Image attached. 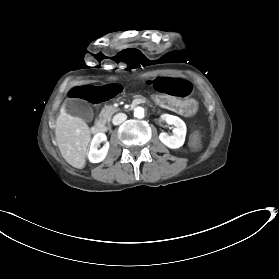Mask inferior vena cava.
I'll return each instance as SVG.
<instances>
[{"label":"inferior vena cava","instance_id":"602c4592","mask_svg":"<svg viewBox=\"0 0 279 279\" xmlns=\"http://www.w3.org/2000/svg\"><path fill=\"white\" fill-rule=\"evenodd\" d=\"M127 118V116L125 114H117L114 118H113V124L114 125H118L120 123H122L123 121H125Z\"/></svg>","mask_w":279,"mask_h":279}]
</instances>
